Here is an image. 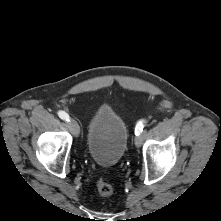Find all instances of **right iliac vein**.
I'll use <instances>...</instances> for the list:
<instances>
[{
  "label": "right iliac vein",
  "instance_id": "obj_1",
  "mask_svg": "<svg viewBox=\"0 0 221 221\" xmlns=\"http://www.w3.org/2000/svg\"><path fill=\"white\" fill-rule=\"evenodd\" d=\"M69 129H70V131L73 133V135L76 136V137H77V136L79 135V133H80L79 125H78V123H77L75 120H73V119L69 120Z\"/></svg>",
  "mask_w": 221,
  "mask_h": 221
}]
</instances>
